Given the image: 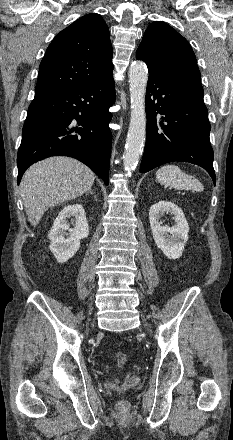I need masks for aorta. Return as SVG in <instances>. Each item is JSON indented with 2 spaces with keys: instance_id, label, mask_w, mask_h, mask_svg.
Listing matches in <instances>:
<instances>
[{
  "instance_id": "762f6f07",
  "label": "aorta",
  "mask_w": 233,
  "mask_h": 440,
  "mask_svg": "<svg viewBox=\"0 0 233 440\" xmlns=\"http://www.w3.org/2000/svg\"><path fill=\"white\" fill-rule=\"evenodd\" d=\"M147 81L148 70L145 63L133 62L129 68L131 118L124 152V169L128 174L136 168L145 143Z\"/></svg>"
}]
</instances>
